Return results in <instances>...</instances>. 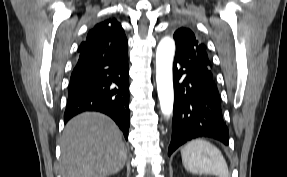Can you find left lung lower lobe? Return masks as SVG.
I'll return each mask as SVG.
<instances>
[{
	"label": "left lung lower lobe",
	"instance_id": "obj_1",
	"mask_svg": "<svg viewBox=\"0 0 287 177\" xmlns=\"http://www.w3.org/2000/svg\"><path fill=\"white\" fill-rule=\"evenodd\" d=\"M181 64L177 69L176 64ZM174 115L170 156L180 145L196 137H212L228 144L221 101L215 81L175 54L173 65Z\"/></svg>",
	"mask_w": 287,
	"mask_h": 177
}]
</instances>
